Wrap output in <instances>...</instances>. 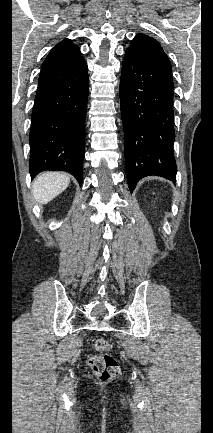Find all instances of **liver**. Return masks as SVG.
I'll return each mask as SVG.
<instances>
[{"instance_id":"1","label":"liver","mask_w":213,"mask_h":433,"mask_svg":"<svg viewBox=\"0 0 213 433\" xmlns=\"http://www.w3.org/2000/svg\"><path fill=\"white\" fill-rule=\"evenodd\" d=\"M69 183L70 177L66 173L57 171L43 172L33 181V196L39 204H47L61 194Z\"/></svg>"}]
</instances>
